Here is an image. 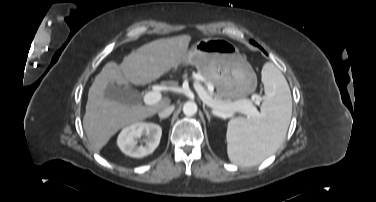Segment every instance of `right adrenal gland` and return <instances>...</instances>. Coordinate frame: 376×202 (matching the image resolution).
Wrapping results in <instances>:
<instances>
[{
  "mask_svg": "<svg viewBox=\"0 0 376 202\" xmlns=\"http://www.w3.org/2000/svg\"><path fill=\"white\" fill-rule=\"evenodd\" d=\"M163 119L162 118H160V122L162 121Z\"/></svg>",
  "mask_w": 376,
  "mask_h": 202,
  "instance_id": "2a0ac1e0",
  "label": "right adrenal gland"
}]
</instances>
